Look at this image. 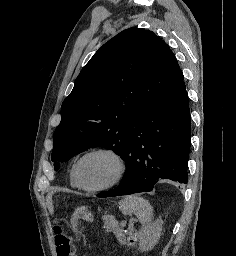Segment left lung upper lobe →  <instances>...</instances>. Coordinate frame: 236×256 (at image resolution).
<instances>
[{
    "instance_id": "obj_1",
    "label": "left lung upper lobe",
    "mask_w": 236,
    "mask_h": 256,
    "mask_svg": "<svg viewBox=\"0 0 236 256\" xmlns=\"http://www.w3.org/2000/svg\"><path fill=\"white\" fill-rule=\"evenodd\" d=\"M182 79L173 52L153 32L129 28L113 37L84 66L62 103L55 170L90 147L123 158L135 122Z\"/></svg>"
}]
</instances>
